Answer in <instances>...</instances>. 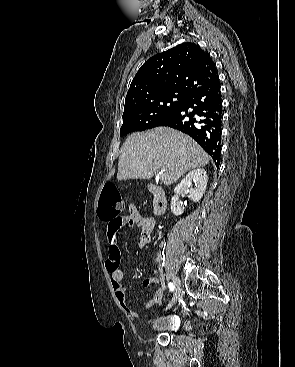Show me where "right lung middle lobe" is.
<instances>
[{"label": "right lung middle lobe", "mask_w": 295, "mask_h": 367, "mask_svg": "<svg viewBox=\"0 0 295 367\" xmlns=\"http://www.w3.org/2000/svg\"><path fill=\"white\" fill-rule=\"evenodd\" d=\"M187 97L167 93L133 102L123 113L120 135L151 128L156 121L180 108Z\"/></svg>", "instance_id": "right-lung-middle-lobe-1"}]
</instances>
